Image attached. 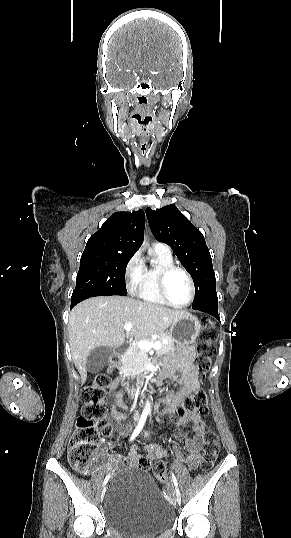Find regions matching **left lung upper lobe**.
Returning a JSON list of instances; mask_svg holds the SVG:
<instances>
[{
    "mask_svg": "<svg viewBox=\"0 0 291 538\" xmlns=\"http://www.w3.org/2000/svg\"><path fill=\"white\" fill-rule=\"evenodd\" d=\"M146 215L155 238L172 248L192 276L195 284L193 305L218 299L212 259L203 234L175 205L156 211L147 208Z\"/></svg>",
    "mask_w": 291,
    "mask_h": 538,
    "instance_id": "left-lung-upper-lobe-1",
    "label": "left lung upper lobe"
}]
</instances>
